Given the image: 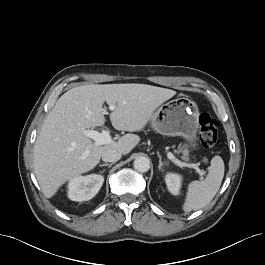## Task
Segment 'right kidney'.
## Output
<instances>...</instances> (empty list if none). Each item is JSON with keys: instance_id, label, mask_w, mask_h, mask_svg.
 Returning <instances> with one entry per match:
<instances>
[{"instance_id": "ca27d5eb", "label": "right kidney", "mask_w": 265, "mask_h": 265, "mask_svg": "<svg viewBox=\"0 0 265 265\" xmlns=\"http://www.w3.org/2000/svg\"><path fill=\"white\" fill-rule=\"evenodd\" d=\"M104 177L98 174L77 176L68 183V197L72 201H88L100 190Z\"/></svg>"}]
</instances>
